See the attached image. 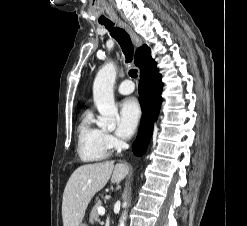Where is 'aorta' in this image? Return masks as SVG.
<instances>
[{
	"instance_id": "aorta-1",
	"label": "aorta",
	"mask_w": 247,
	"mask_h": 226,
	"mask_svg": "<svg viewBox=\"0 0 247 226\" xmlns=\"http://www.w3.org/2000/svg\"><path fill=\"white\" fill-rule=\"evenodd\" d=\"M116 79V67L113 63L105 64L97 73L93 83V99L100 113L97 125L103 129H112L118 117L113 86ZM127 211L120 218L119 226H125Z\"/></svg>"
}]
</instances>
